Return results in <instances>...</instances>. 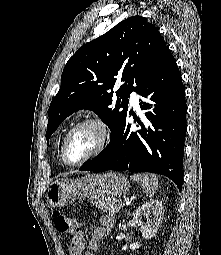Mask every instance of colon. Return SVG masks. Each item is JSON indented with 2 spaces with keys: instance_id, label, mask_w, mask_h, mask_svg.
Returning <instances> with one entry per match:
<instances>
[{
  "instance_id": "obj_1",
  "label": "colon",
  "mask_w": 221,
  "mask_h": 255,
  "mask_svg": "<svg viewBox=\"0 0 221 255\" xmlns=\"http://www.w3.org/2000/svg\"><path fill=\"white\" fill-rule=\"evenodd\" d=\"M52 220L56 230L59 232H67L73 235L81 230L79 223L70 220L59 211L53 212Z\"/></svg>"
}]
</instances>
